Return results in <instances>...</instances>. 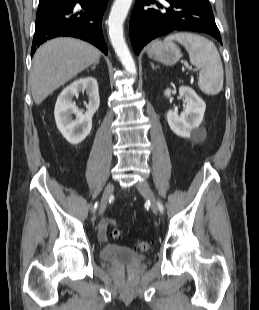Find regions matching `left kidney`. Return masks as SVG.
I'll return each mask as SVG.
<instances>
[{
	"label": "left kidney",
	"mask_w": 259,
	"mask_h": 310,
	"mask_svg": "<svg viewBox=\"0 0 259 310\" xmlns=\"http://www.w3.org/2000/svg\"><path fill=\"white\" fill-rule=\"evenodd\" d=\"M172 91L166 89L164 95L171 97ZM179 94L184 97L185 110L178 115L172 110L167 112V121L171 130L178 136L183 138H194L197 136V129L202 123L204 112L206 109L205 102L196 94V92L188 87L181 86Z\"/></svg>",
	"instance_id": "left-kidney-1"
}]
</instances>
